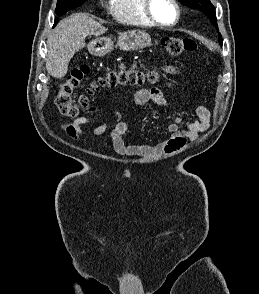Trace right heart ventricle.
Segmentation results:
<instances>
[{
    "mask_svg": "<svg viewBox=\"0 0 259 294\" xmlns=\"http://www.w3.org/2000/svg\"><path fill=\"white\" fill-rule=\"evenodd\" d=\"M111 12L120 23L139 26H154L143 12V0H112Z\"/></svg>",
    "mask_w": 259,
    "mask_h": 294,
    "instance_id": "e07e8e85",
    "label": "right heart ventricle"
}]
</instances>
